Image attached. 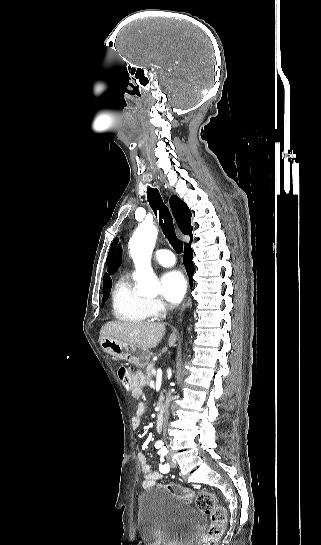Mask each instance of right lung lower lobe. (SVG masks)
Masks as SVG:
<instances>
[{
    "label": "right lung lower lobe",
    "mask_w": 321,
    "mask_h": 545,
    "mask_svg": "<svg viewBox=\"0 0 321 545\" xmlns=\"http://www.w3.org/2000/svg\"><path fill=\"white\" fill-rule=\"evenodd\" d=\"M190 238H191L190 242L188 244H186L185 248H184L183 262H184V266L186 268L187 274L189 276L190 284L192 285V275L194 273V265H193V262H192L193 252H192V248L190 246L191 242L193 240L192 235H190Z\"/></svg>",
    "instance_id": "98d812e1"
}]
</instances>
